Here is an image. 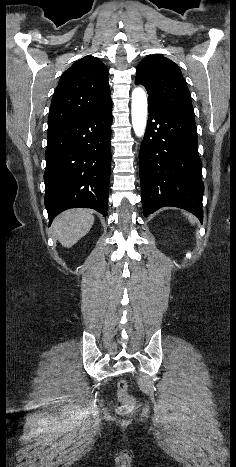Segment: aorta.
<instances>
[{"mask_svg":"<svg viewBox=\"0 0 236 467\" xmlns=\"http://www.w3.org/2000/svg\"><path fill=\"white\" fill-rule=\"evenodd\" d=\"M132 125L137 137L141 138L145 134L147 124V96L145 91L137 87L132 92Z\"/></svg>","mask_w":236,"mask_h":467,"instance_id":"1","label":"aorta"}]
</instances>
